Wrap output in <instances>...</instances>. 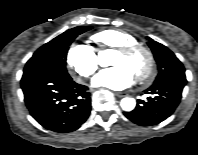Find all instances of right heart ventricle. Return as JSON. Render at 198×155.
Segmentation results:
<instances>
[{"label": "right heart ventricle", "instance_id": "e07e8e85", "mask_svg": "<svg viewBox=\"0 0 198 155\" xmlns=\"http://www.w3.org/2000/svg\"><path fill=\"white\" fill-rule=\"evenodd\" d=\"M92 39L103 48H117L136 42L132 35L119 29L101 30L95 33Z\"/></svg>", "mask_w": 198, "mask_h": 155}]
</instances>
